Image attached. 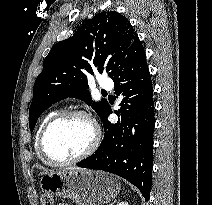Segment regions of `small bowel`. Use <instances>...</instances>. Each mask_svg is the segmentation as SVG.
Returning a JSON list of instances; mask_svg holds the SVG:
<instances>
[{
  "instance_id": "small-bowel-1",
  "label": "small bowel",
  "mask_w": 212,
  "mask_h": 205,
  "mask_svg": "<svg viewBox=\"0 0 212 205\" xmlns=\"http://www.w3.org/2000/svg\"><path fill=\"white\" fill-rule=\"evenodd\" d=\"M58 205H68V204H58Z\"/></svg>"
}]
</instances>
